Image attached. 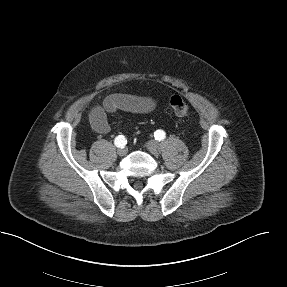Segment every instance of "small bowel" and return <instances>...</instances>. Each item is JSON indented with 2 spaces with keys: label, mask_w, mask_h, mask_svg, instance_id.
Returning <instances> with one entry per match:
<instances>
[{
  "label": "small bowel",
  "mask_w": 287,
  "mask_h": 287,
  "mask_svg": "<svg viewBox=\"0 0 287 287\" xmlns=\"http://www.w3.org/2000/svg\"><path fill=\"white\" fill-rule=\"evenodd\" d=\"M157 106L156 101L147 96L131 94L109 95L102 105L92 108L89 121L92 128L99 134H107L110 131L108 115L117 111H125L134 114H146L152 112Z\"/></svg>",
  "instance_id": "1"
}]
</instances>
